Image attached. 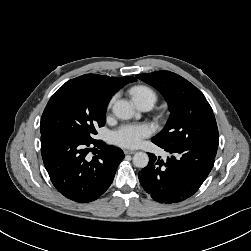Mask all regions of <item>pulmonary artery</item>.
<instances>
[{"label":"pulmonary artery","mask_w":251,"mask_h":251,"mask_svg":"<svg viewBox=\"0 0 251 251\" xmlns=\"http://www.w3.org/2000/svg\"><path fill=\"white\" fill-rule=\"evenodd\" d=\"M138 109L148 111L153 107V102L150 100H139L135 102Z\"/></svg>","instance_id":"obj_1"}]
</instances>
